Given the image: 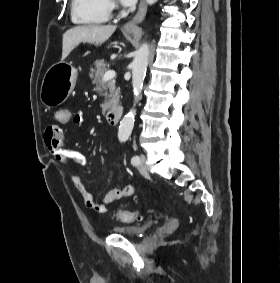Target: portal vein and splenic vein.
<instances>
[{
    "label": "portal vein and splenic vein",
    "instance_id": "portal-vein-and-splenic-vein-1",
    "mask_svg": "<svg viewBox=\"0 0 280 283\" xmlns=\"http://www.w3.org/2000/svg\"><path fill=\"white\" fill-rule=\"evenodd\" d=\"M116 73L114 70H108L103 76V81L111 80L115 77Z\"/></svg>",
    "mask_w": 280,
    "mask_h": 283
}]
</instances>
